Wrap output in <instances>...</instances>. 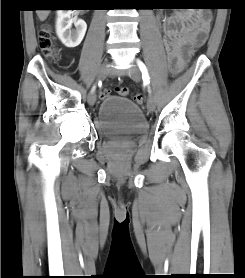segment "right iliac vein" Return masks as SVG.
<instances>
[{"mask_svg": "<svg viewBox=\"0 0 245 278\" xmlns=\"http://www.w3.org/2000/svg\"><path fill=\"white\" fill-rule=\"evenodd\" d=\"M107 71H108V65L106 63V64H103L98 69L97 76H96L97 81L102 80L105 77ZM95 102H96V94L94 91H92L88 96V103H89V105L93 106L95 104Z\"/></svg>", "mask_w": 245, "mask_h": 278, "instance_id": "obj_1", "label": "right iliac vein"}]
</instances>
